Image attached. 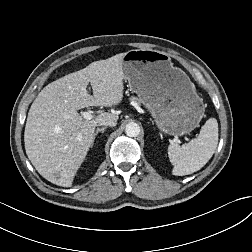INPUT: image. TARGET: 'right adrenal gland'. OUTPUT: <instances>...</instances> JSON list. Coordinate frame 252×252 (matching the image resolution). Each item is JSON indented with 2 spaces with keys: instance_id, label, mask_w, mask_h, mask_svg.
Masks as SVG:
<instances>
[{
  "instance_id": "1",
  "label": "right adrenal gland",
  "mask_w": 252,
  "mask_h": 252,
  "mask_svg": "<svg viewBox=\"0 0 252 252\" xmlns=\"http://www.w3.org/2000/svg\"><path fill=\"white\" fill-rule=\"evenodd\" d=\"M106 127L98 128L96 132L94 133V139L96 138L97 134L101 132L102 134L104 133Z\"/></svg>"
}]
</instances>
